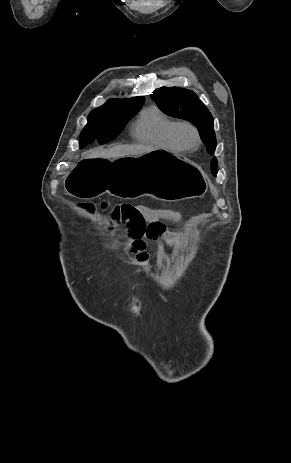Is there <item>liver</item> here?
<instances>
[{
	"label": "liver",
	"mask_w": 291,
	"mask_h": 463,
	"mask_svg": "<svg viewBox=\"0 0 291 463\" xmlns=\"http://www.w3.org/2000/svg\"><path fill=\"white\" fill-rule=\"evenodd\" d=\"M155 148L147 145H117L109 149H93L88 151L85 159H118L128 156H139L154 151Z\"/></svg>",
	"instance_id": "1"
}]
</instances>
